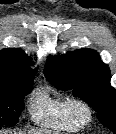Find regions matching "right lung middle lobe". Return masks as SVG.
Instances as JSON below:
<instances>
[{
    "label": "right lung middle lobe",
    "instance_id": "obj_1",
    "mask_svg": "<svg viewBox=\"0 0 116 134\" xmlns=\"http://www.w3.org/2000/svg\"><path fill=\"white\" fill-rule=\"evenodd\" d=\"M33 78H30L19 91L0 90V125L17 124L20 113L24 109V96L29 93Z\"/></svg>",
    "mask_w": 116,
    "mask_h": 134
}]
</instances>
